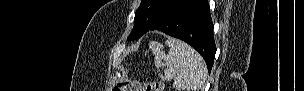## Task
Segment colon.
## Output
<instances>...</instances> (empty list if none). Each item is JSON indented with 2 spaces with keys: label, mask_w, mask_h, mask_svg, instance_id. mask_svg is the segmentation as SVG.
<instances>
[{
  "label": "colon",
  "mask_w": 304,
  "mask_h": 91,
  "mask_svg": "<svg viewBox=\"0 0 304 91\" xmlns=\"http://www.w3.org/2000/svg\"><path fill=\"white\" fill-rule=\"evenodd\" d=\"M116 91H163V85L158 81L140 82L127 79L118 83Z\"/></svg>",
  "instance_id": "obj_1"
}]
</instances>
